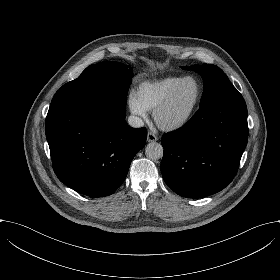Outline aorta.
<instances>
[{"label":"aorta","instance_id":"obj_1","mask_svg":"<svg viewBox=\"0 0 280 280\" xmlns=\"http://www.w3.org/2000/svg\"><path fill=\"white\" fill-rule=\"evenodd\" d=\"M146 157L151 160L162 158L163 147L158 142H150L145 148Z\"/></svg>","mask_w":280,"mask_h":280}]
</instances>
